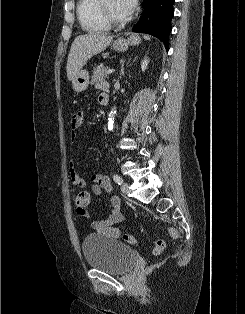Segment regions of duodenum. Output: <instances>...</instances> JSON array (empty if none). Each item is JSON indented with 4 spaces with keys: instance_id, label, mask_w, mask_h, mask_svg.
I'll use <instances>...</instances> for the list:
<instances>
[{
    "instance_id": "410a0bca",
    "label": "duodenum",
    "mask_w": 245,
    "mask_h": 314,
    "mask_svg": "<svg viewBox=\"0 0 245 314\" xmlns=\"http://www.w3.org/2000/svg\"><path fill=\"white\" fill-rule=\"evenodd\" d=\"M100 99L103 103H106L108 101V95L106 93H103L100 95Z\"/></svg>"
}]
</instances>
